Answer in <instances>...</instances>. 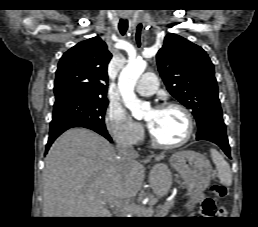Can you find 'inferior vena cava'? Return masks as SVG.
<instances>
[{
	"label": "inferior vena cava",
	"instance_id": "inferior-vena-cava-1",
	"mask_svg": "<svg viewBox=\"0 0 258 227\" xmlns=\"http://www.w3.org/2000/svg\"><path fill=\"white\" fill-rule=\"evenodd\" d=\"M117 151L120 158L124 161H132L138 157V152L127 142H117Z\"/></svg>",
	"mask_w": 258,
	"mask_h": 227
}]
</instances>
